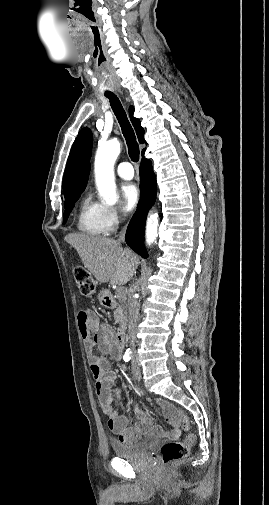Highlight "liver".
<instances>
[{
	"label": "liver",
	"instance_id": "liver-1",
	"mask_svg": "<svg viewBox=\"0 0 269 505\" xmlns=\"http://www.w3.org/2000/svg\"><path fill=\"white\" fill-rule=\"evenodd\" d=\"M64 240L76 249L84 267L100 283L124 285L139 264L137 255L114 239L71 233Z\"/></svg>",
	"mask_w": 269,
	"mask_h": 505
}]
</instances>
